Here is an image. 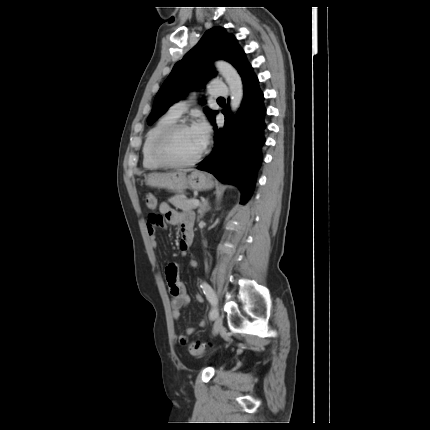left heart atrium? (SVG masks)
Returning <instances> with one entry per match:
<instances>
[{"mask_svg":"<svg viewBox=\"0 0 430 430\" xmlns=\"http://www.w3.org/2000/svg\"><path fill=\"white\" fill-rule=\"evenodd\" d=\"M192 129L194 130L195 134L197 135L201 145L203 148L206 147V145L209 142L210 139V126L209 124L204 120L198 121Z\"/></svg>","mask_w":430,"mask_h":430,"instance_id":"obj_1","label":"left heart atrium"}]
</instances>
